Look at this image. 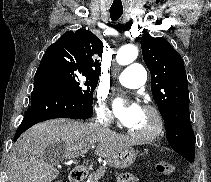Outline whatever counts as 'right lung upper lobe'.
I'll return each mask as SVG.
<instances>
[{"label": "right lung upper lobe", "instance_id": "right-lung-upper-lobe-1", "mask_svg": "<svg viewBox=\"0 0 211 182\" xmlns=\"http://www.w3.org/2000/svg\"><path fill=\"white\" fill-rule=\"evenodd\" d=\"M102 52L103 43L92 32L85 29L67 31L47 48L38 70L50 63H57L98 79L101 63L95 56H102Z\"/></svg>", "mask_w": 211, "mask_h": 182}]
</instances>
